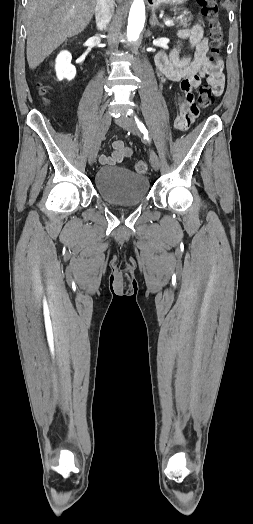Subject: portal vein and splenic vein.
<instances>
[{"label": "portal vein and splenic vein", "instance_id": "1", "mask_svg": "<svg viewBox=\"0 0 253 524\" xmlns=\"http://www.w3.org/2000/svg\"><path fill=\"white\" fill-rule=\"evenodd\" d=\"M164 23H165L166 26H172V25H174V22H173V20H171V19L166 20Z\"/></svg>", "mask_w": 253, "mask_h": 524}]
</instances>
